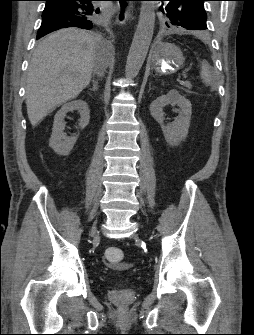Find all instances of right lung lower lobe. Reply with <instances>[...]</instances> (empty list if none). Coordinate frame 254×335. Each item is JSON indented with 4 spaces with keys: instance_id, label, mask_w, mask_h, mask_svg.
<instances>
[{
    "instance_id": "98d812e1",
    "label": "right lung lower lobe",
    "mask_w": 254,
    "mask_h": 335,
    "mask_svg": "<svg viewBox=\"0 0 254 335\" xmlns=\"http://www.w3.org/2000/svg\"><path fill=\"white\" fill-rule=\"evenodd\" d=\"M42 24L37 32V39L61 28L79 27L90 29L92 15L95 12L93 1L96 0H44Z\"/></svg>"
}]
</instances>
